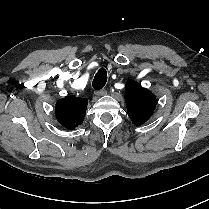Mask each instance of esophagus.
I'll use <instances>...</instances> for the list:
<instances>
[{
	"mask_svg": "<svg viewBox=\"0 0 209 209\" xmlns=\"http://www.w3.org/2000/svg\"><path fill=\"white\" fill-rule=\"evenodd\" d=\"M95 94L100 97V96L106 95L107 94V91L105 89H100V90H97L95 92Z\"/></svg>",
	"mask_w": 209,
	"mask_h": 209,
	"instance_id": "1",
	"label": "esophagus"
}]
</instances>
